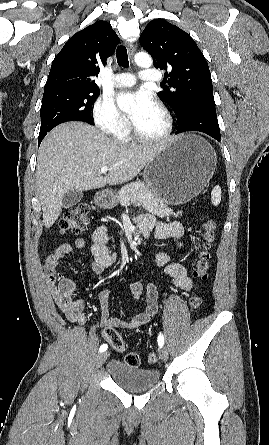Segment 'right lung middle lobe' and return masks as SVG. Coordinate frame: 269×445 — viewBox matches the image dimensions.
<instances>
[{
	"mask_svg": "<svg viewBox=\"0 0 269 445\" xmlns=\"http://www.w3.org/2000/svg\"><path fill=\"white\" fill-rule=\"evenodd\" d=\"M99 94V90L82 89L44 92L40 109L41 128L38 143H41L47 132L63 122L84 121L93 125L91 110Z\"/></svg>",
	"mask_w": 269,
	"mask_h": 445,
	"instance_id": "1",
	"label": "right lung middle lobe"
}]
</instances>
